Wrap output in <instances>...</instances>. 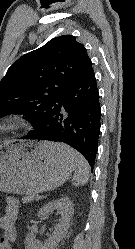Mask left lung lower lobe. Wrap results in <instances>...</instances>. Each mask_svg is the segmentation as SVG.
Returning a JSON list of instances; mask_svg holds the SVG:
<instances>
[{
  "label": "left lung lower lobe",
  "instance_id": "obj_1",
  "mask_svg": "<svg viewBox=\"0 0 135 249\" xmlns=\"http://www.w3.org/2000/svg\"><path fill=\"white\" fill-rule=\"evenodd\" d=\"M101 107L93 68L66 88L45 112L43 120L22 139L66 143L78 150L94 168L100 134Z\"/></svg>",
  "mask_w": 135,
  "mask_h": 249
}]
</instances>
